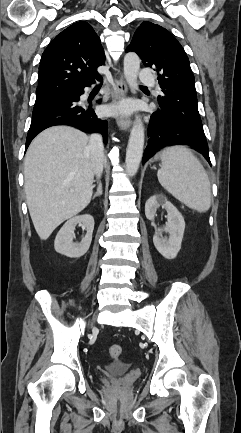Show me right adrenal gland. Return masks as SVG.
<instances>
[{
    "mask_svg": "<svg viewBox=\"0 0 241 433\" xmlns=\"http://www.w3.org/2000/svg\"><path fill=\"white\" fill-rule=\"evenodd\" d=\"M101 195H102V183L99 181L97 183V191L94 193L93 198H96Z\"/></svg>",
    "mask_w": 241,
    "mask_h": 433,
    "instance_id": "1",
    "label": "right adrenal gland"
}]
</instances>
